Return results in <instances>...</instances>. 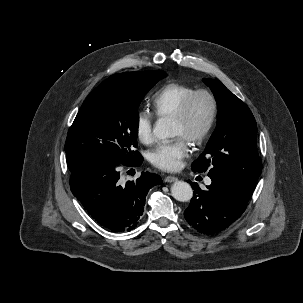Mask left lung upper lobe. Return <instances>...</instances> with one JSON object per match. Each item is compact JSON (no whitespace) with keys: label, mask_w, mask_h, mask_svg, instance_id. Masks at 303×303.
Here are the masks:
<instances>
[{"label":"left lung upper lobe","mask_w":303,"mask_h":303,"mask_svg":"<svg viewBox=\"0 0 303 303\" xmlns=\"http://www.w3.org/2000/svg\"><path fill=\"white\" fill-rule=\"evenodd\" d=\"M218 107L217 126L205 151L193 162L194 171L216 173L235 179L254 190L262 171L258 155L255 118L238 97L219 80L203 79Z\"/></svg>","instance_id":"left-lung-upper-lobe-1"}]
</instances>
